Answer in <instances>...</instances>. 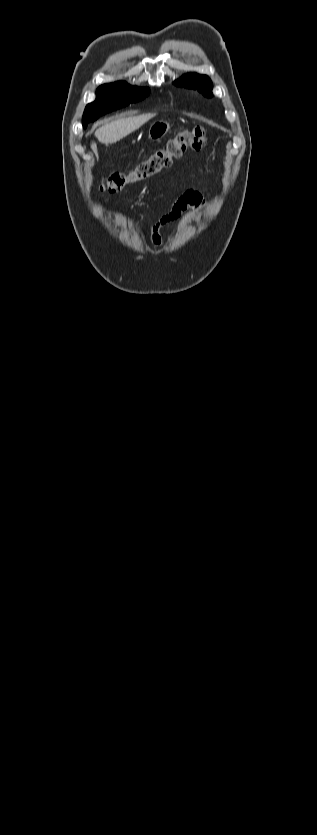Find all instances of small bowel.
<instances>
[{
  "label": "small bowel",
  "mask_w": 317,
  "mask_h": 835,
  "mask_svg": "<svg viewBox=\"0 0 317 835\" xmlns=\"http://www.w3.org/2000/svg\"><path fill=\"white\" fill-rule=\"evenodd\" d=\"M205 206L204 195L197 190H187L180 195L172 205L169 212L163 215L150 230V242L153 246L159 247L162 244L161 229L167 224L177 220L186 210H201Z\"/></svg>",
  "instance_id": "c3829d8e"
}]
</instances>
